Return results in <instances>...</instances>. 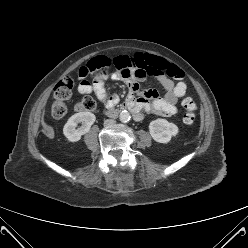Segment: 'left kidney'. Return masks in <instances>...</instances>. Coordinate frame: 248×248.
I'll list each match as a JSON object with an SVG mask.
<instances>
[{
	"mask_svg": "<svg viewBox=\"0 0 248 248\" xmlns=\"http://www.w3.org/2000/svg\"><path fill=\"white\" fill-rule=\"evenodd\" d=\"M149 132L156 142L168 143L172 137L178 134L179 129L174 123L159 118L150 122Z\"/></svg>",
	"mask_w": 248,
	"mask_h": 248,
	"instance_id": "left-kidney-1",
	"label": "left kidney"
}]
</instances>
